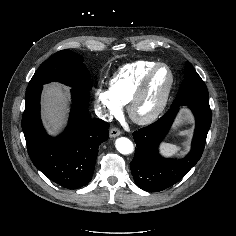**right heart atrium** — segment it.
<instances>
[{"label": "right heart atrium", "mask_w": 236, "mask_h": 236, "mask_svg": "<svg viewBox=\"0 0 236 236\" xmlns=\"http://www.w3.org/2000/svg\"><path fill=\"white\" fill-rule=\"evenodd\" d=\"M96 99L105 118L117 116L121 112L122 106L113 97L110 90L97 89Z\"/></svg>", "instance_id": "obj_1"}]
</instances>
